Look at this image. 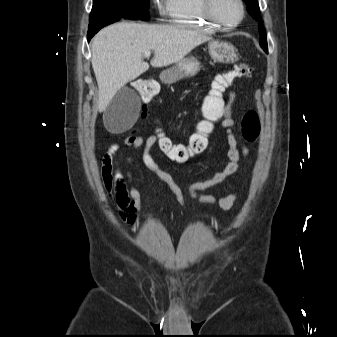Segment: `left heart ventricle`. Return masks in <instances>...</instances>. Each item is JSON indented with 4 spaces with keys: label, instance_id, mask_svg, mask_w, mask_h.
Masks as SVG:
<instances>
[{
    "label": "left heart ventricle",
    "instance_id": "b2bd125f",
    "mask_svg": "<svg viewBox=\"0 0 337 337\" xmlns=\"http://www.w3.org/2000/svg\"><path fill=\"white\" fill-rule=\"evenodd\" d=\"M216 15L226 23H233L240 18L241 11L236 0H217Z\"/></svg>",
    "mask_w": 337,
    "mask_h": 337
}]
</instances>
